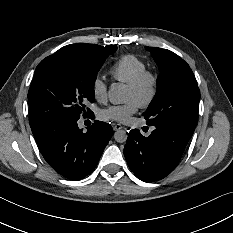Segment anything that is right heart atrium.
Here are the masks:
<instances>
[{
  "label": "right heart atrium",
  "instance_id": "right-heart-atrium-1",
  "mask_svg": "<svg viewBox=\"0 0 233 233\" xmlns=\"http://www.w3.org/2000/svg\"><path fill=\"white\" fill-rule=\"evenodd\" d=\"M93 95L97 100H104L107 96V84L104 80L96 77L92 83Z\"/></svg>",
  "mask_w": 233,
  "mask_h": 233
}]
</instances>
